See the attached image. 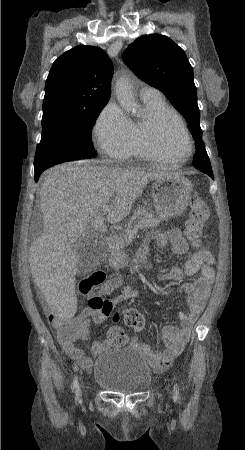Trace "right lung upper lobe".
<instances>
[{
  "label": "right lung upper lobe",
  "instance_id": "cb5924a9",
  "mask_svg": "<svg viewBox=\"0 0 245 450\" xmlns=\"http://www.w3.org/2000/svg\"><path fill=\"white\" fill-rule=\"evenodd\" d=\"M112 76V62L102 49L77 46L53 63L45 83L43 109L90 110L107 104Z\"/></svg>",
  "mask_w": 245,
  "mask_h": 450
}]
</instances>
